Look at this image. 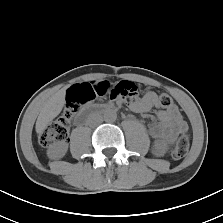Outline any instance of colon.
<instances>
[{
    "label": "colon",
    "mask_w": 223,
    "mask_h": 223,
    "mask_svg": "<svg viewBox=\"0 0 223 223\" xmlns=\"http://www.w3.org/2000/svg\"><path fill=\"white\" fill-rule=\"evenodd\" d=\"M108 94L110 99H132L138 94V87L131 81H120L115 85L107 82H88L71 86L66 93V108L62 118L51 123L41 134L40 143L42 146H49L58 141H64L68 137L69 124L77 113L79 107L96 97ZM158 103L164 108L172 105V99L167 94L158 98ZM189 137L182 134L178 137L172 150L175 159L184 157L189 150Z\"/></svg>",
    "instance_id": "obj_1"
}]
</instances>
